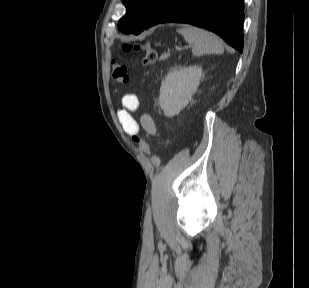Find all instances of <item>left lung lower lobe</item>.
<instances>
[{"label":"left lung lower lobe","instance_id":"left-lung-lower-lobe-1","mask_svg":"<svg viewBox=\"0 0 309 288\" xmlns=\"http://www.w3.org/2000/svg\"><path fill=\"white\" fill-rule=\"evenodd\" d=\"M243 1L165 0L147 22L144 29L165 22L192 24L215 32L229 45L242 52Z\"/></svg>","mask_w":309,"mask_h":288}]
</instances>
